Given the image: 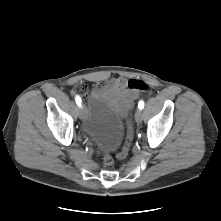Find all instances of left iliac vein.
I'll list each match as a JSON object with an SVG mask.
<instances>
[{
  "label": "left iliac vein",
  "instance_id": "1",
  "mask_svg": "<svg viewBox=\"0 0 221 221\" xmlns=\"http://www.w3.org/2000/svg\"><path fill=\"white\" fill-rule=\"evenodd\" d=\"M135 120L137 123H141L143 120V112L141 109H137L136 113H135Z\"/></svg>",
  "mask_w": 221,
  "mask_h": 221
}]
</instances>
